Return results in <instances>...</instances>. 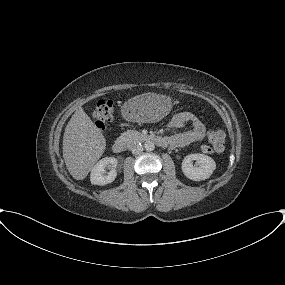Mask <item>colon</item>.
<instances>
[{
    "label": "colon",
    "mask_w": 285,
    "mask_h": 285,
    "mask_svg": "<svg viewBox=\"0 0 285 285\" xmlns=\"http://www.w3.org/2000/svg\"><path fill=\"white\" fill-rule=\"evenodd\" d=\"M114 112L112 102L107 98H100L96 101L93 110V118L96 125L104 129L113 119ZM210 145H203L202 151L205 153L221 152L225 147V132L221 128H215L208 133Z\"/></svg>",
    "instance_id": "1"
}]
</instances>
